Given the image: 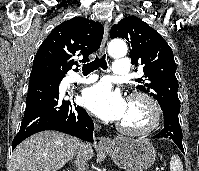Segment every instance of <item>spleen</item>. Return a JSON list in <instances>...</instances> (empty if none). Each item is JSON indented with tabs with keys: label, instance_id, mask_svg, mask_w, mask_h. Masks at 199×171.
<instances>
[{
	"label": "spleen",
	"instance_id": "obj_1",
	"mask_svg": "<svg viewBox=\"0 0 199 171\" xmlns=\"http://www.w3.org/2000/svg\"><path fill=\"white\" fill-rule=\"evenodd\" d=\"M170 171H183V164L178 155H173L171 157Z\"/></svg>",
	"mask_w": 199,
	"mask_h": 171
}]
</instances>
